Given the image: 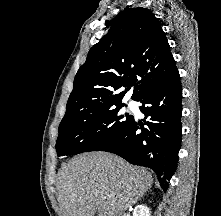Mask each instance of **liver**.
<instances>
[{"mask_svg": "<svg viewBox=\"0 0 221 216\" xmlns=\"http://www.w3.org/2000/svg\"><path fill=\"white\" fill-rule=\"evenodd\" d=\"M153 184L152 174L105 152L79 155L57 179L62 216H122Z\"/></svg>", "mask_w": 221, "mask_h": 216, "instance_id": "1", "label": "liver"}]
</instances>
